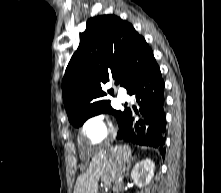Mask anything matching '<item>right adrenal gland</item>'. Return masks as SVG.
Returning <instances> with one entry per match:
<instances>
[{
    "instance_id": "obj_1",
    "label": "right adrenal gland",
    "mask_w": 221,
    "mask_h": 193,
    "mask_svg": "<svg viewBox=\"0 0 221 193\" xmlns=\"http://www.w3.org/2000/svg\"><path fill=\"white\" fill-rule=\"evenodd\" d=\"M136 157H132L128 162H127V172L125 174V177H128L129 176V170L131 168V162L135 161Z\"/></svg>"
}]
</instances>
